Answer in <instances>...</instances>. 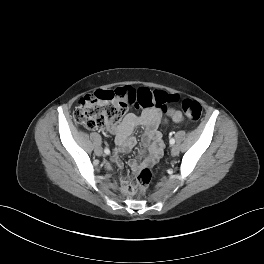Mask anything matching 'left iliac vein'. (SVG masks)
<instances>
[{
  "label": "left iliac vein",
  "mask_w": 264,
  "mask_h": 264,
  "mask_svg": "<svg viewBox=\"0 0 264 264\" xmlns=\"http://www.w3.org/2000/svg\"><path fill=\"white\" fill-rule=\"evenodd\" d=\"M179 153V147L177 145H173L171 148V154L176 156Z\"/></svg>",
  "instance_id": "1"
}]
</instances>
